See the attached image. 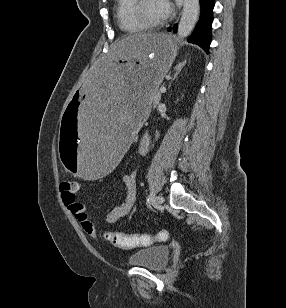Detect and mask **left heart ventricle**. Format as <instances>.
Masks as SVG:
<instances>
[{
    "label": "left heart ventricle",
    "instance_id": "b2bd125f",
    "mask_svg": "<svg viewBox=\"0 0 286 308\" xmlns=\"http://www.w3.org/2000/svg\"><path fill=\"white\" fill-rule=\"evenodd\" d=\"M145 19L159 22L166 18L162 0H145L141 8Z\"/></svg>",
    "mask_w": 286,
    "mask_h": 308
}]
</instances>
